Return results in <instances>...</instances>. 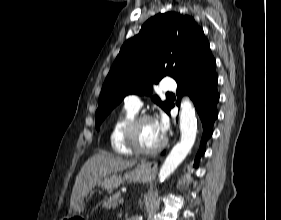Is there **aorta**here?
I'll return each instance as SVG.
<instances>
[{"label":"aorta","mask_w":281,"mask_h":220,"mask_svg":"<svg viewBox=\"0 0 281 220\" xmlns=\"http://www.w3.org/2000/svg\"><path fill=\"white\" fill-rule=\"evenodd\" d=\"M181 141L177 143L160 168L159 179L164 181L184 160L194 145L197 132L195 109L189 98L185 97L180 110Z\"/></svg>","instance_id":"aorta-1"}]
</instances>
